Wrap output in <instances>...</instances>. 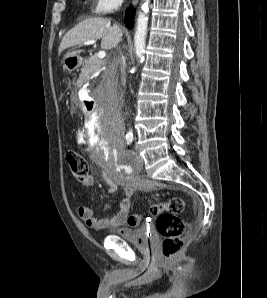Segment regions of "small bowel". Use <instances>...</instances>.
I'll return each mask as SVG.
<instances>
[{"label": "small bowel", "mask_w": 267, "mask_h": 298, "mask_svg": "<svg viewBox=\"0 0 267 298\" xmlns=\"http://www.w3.org/2000/svg\"><path fill=\"white\" fill-rule=\"evenodd\" d=\"M104 181L108 185V193L110 195L115 194L118 191V188L121 187L124 191L126 197L120 200L118 204V210L115 215L105 218H99L95 215V210L92 207L81 206L78 209V215L80 219L85 223V225L94 230H103V229H115L120 228L122 234L128 233V230L122 228L125 224L126 218L130 211L131 201L130 196L134 193L136 182L124 177L118 173H104ZM94 184V177L89 176L88 180L83 184L86 187H91ZM149 189L156 187L155 184L147 182L143 184Z\"/></svg>", "instance_id": "1"}]
</instances>
